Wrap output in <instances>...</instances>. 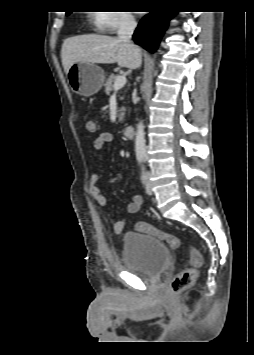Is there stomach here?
<instances>
[{
	"mask_svg": "<svg viewBox=\"0 0 254 355\" xmlns=\"http://www.w3.org/2000/svg\"><path fill=\"white\" fill-rule=\"evenodd\" d=\"M104 78V70L88 62L74 63L67 72L71 90L85 97L96 94L101 89Z\"/></svg>",
	"mask_w": 254,
	"mask_h": 355,
	"instance_id": "stomach-1",
	"label": "stomach"
}]
</instances>
